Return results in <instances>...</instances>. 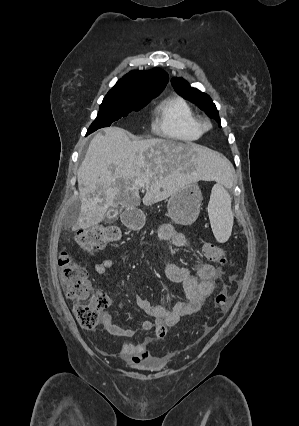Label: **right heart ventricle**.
I'll return each instance as SVG.
<instances>
[{
	"label": "right heart ventricle",
	"instance_id": "obj_1",
	"mask_svg": "<svg viewBox=\"0 0 299 426\" xmlns=\"http://www.w3.org/2000/svg\"><path fill=\"white\" fill-rule=\"evenodd\" d=\"M153 128L159 135L179 141H195L202 135L194 109L181 97H170L157 105Z\"/></svg>",
	"mask_w": 299,
	"mask_h": 426
}]
</instances>
